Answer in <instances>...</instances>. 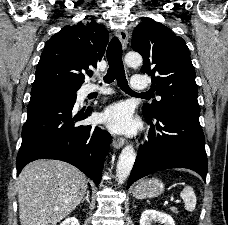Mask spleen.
I'll use <instances>...</instances> for the list:
<instances>
[{
  "label": "spleen",
  "mask_w": 228,
  "mask_h": 225,
  "mask_svg": "<svg viewBox=\"0 0 228 225\" xmlns=\"http://www.w3.org/2000/svg\"><path fill=\"white\" fill-rule=\"evenodd\" d=\"M181 199L184 201L185 211H194L197 203L196 195L192 187H184L183 191L180 193Z\"/></svg>",
  "instance_id": "1"
}]
</instances>
